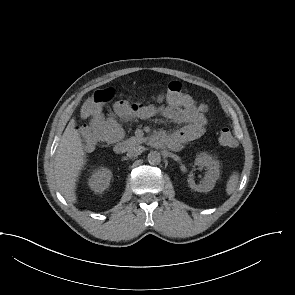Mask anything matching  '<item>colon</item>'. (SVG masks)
<instances>
[{
  "label": "colon",
  "mask_w": 295,
  "mask_h": 295,
  "mask_svg": "<svg viewBox=\"0 0 295 295\" xmlns=\"http://www.w3.org/2000/svg\"><path fill=\"white\" fill-rule=\"evenodd\" d=\"M167 96L177 100L180 103L193 102L192 97L185 91L182 84L178 81L170 82L167 87ZM114 91L112 89H103L93 92L83 103L81 115L87 119L94 114L99 113L103 106L112 100ZM104 130L100 127L84 126L82 135L86 146L93 147L104 139ZM219 143L225 147H235L237 141L230 129L224 128L220 131L218 137Z\"/></svg>",
  "instance_id": "5ec220e1"
}]
</instances>
